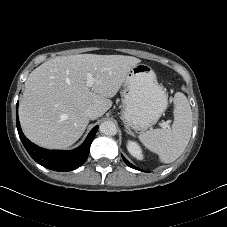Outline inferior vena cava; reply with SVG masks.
<instances>
[{
    "mask_svg": "<svg viewBox=\"0 0 227 227\" xmlns=\"http://www.w3.org/2000/svg\"><path fill=\"white\" fill-rule=\"evenodd\" d=\"M85 115L91 120H94L99 117V112L94 107H89L85 110Z\"/></svg>",
    "mask_w": 227,
    "mask_h": 227,
    "instance_id": "602c4592",
    "label": "inferior vena cava"
}]
</instances>
